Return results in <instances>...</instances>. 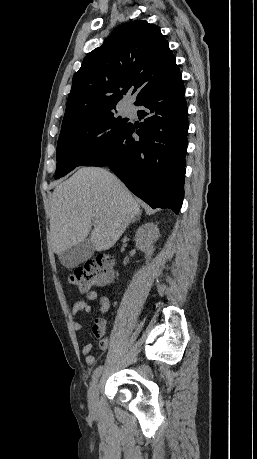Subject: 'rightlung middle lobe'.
<instances>
[{
  "instance_id": "obj_1",
  "label": "right lung middle lobe",
  "mask_w": 257,
  "mask_h": 459,
  "mask_svg": "<svg viewBox=\"0 0 257 459\" xmlns=\"http://www.w3.org/2000/svg\"><path fill=\"white\" fill-rule=\"evenodd\" d=\"M128 122L114 116V108L79 121L61 131L57 144L55 179L65 176L109 149Z\"/></svg>"
}]
</instances>
